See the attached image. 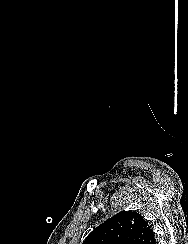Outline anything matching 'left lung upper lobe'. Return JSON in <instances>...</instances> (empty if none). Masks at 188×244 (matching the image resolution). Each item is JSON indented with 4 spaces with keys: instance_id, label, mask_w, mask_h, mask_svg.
Here are the masks:
<instances>
[{
    "instance_id": "5c2ea615",
    "label": "left lung upper lobe",
    "mask_w": 188,
    "mask_h": 244,
    "mask_svg": "<svg viewBox=\"0 0 188 244\" xmlns=\"http://www.w3.org/2000/svg\"><path fill=\"white\" fill-rule=\"evenodd\" d=\"M154 233L138 213L122 211L96 227L82 244H153Z\"/></svg>"
}]
</instances>
